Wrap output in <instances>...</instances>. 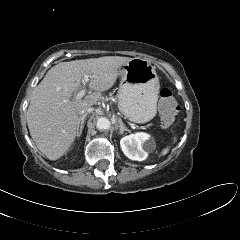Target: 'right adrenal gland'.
Here are the masks:
<instances>
[{
	"mask_svg": "<svg viewBox=\"0 0 240 240\" xmlns=\"http://www.w3.org/2000/svg\"><path fill=\"white\" fill-rule=\"evenodd\" d=\"M85 117H86V115H84L80 118V127L77 130V137H80L81 134H82V131H83V128H84Z\"/></svg>",
	"mask_w": 240,
	"mask_h": 240,
	"instance_id": "obj_1",
	"label": "right adrenal gland"
}]
</instances>
